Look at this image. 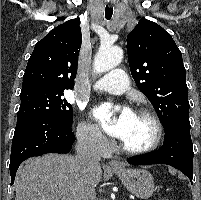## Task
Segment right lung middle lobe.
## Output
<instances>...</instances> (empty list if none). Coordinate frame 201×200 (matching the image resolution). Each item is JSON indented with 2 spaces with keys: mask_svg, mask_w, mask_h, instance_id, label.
<instances>
[{
  "mask_svg": "<svg viewBox=\"0 0 201 200\" xmlns=\"http://www.w3.org/2000/svg\"><path fill=\"white\" fill-rule=\"evenodd\" d=\"M64 91L33 90L20 95L17 120L31 116H49L72 126V106L62 98Z\"/></svg>",
  "mask_w": 201,
  "mask_h": 200,
  "instance_id": "right-lung-middle-lobe-1",
  "label": "right lung middle lobe"
}]
</instances>
